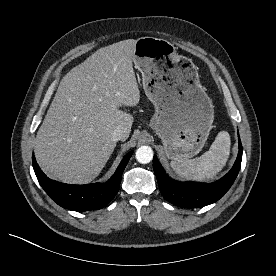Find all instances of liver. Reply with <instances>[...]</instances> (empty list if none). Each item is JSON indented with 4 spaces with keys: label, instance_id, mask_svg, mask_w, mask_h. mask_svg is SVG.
<instances>
[{
    "label": "liver",
    "instance_id": "1",
    "mask_svg": "<svg viewBox=\"0 0 276 276\" xmlns=\"http://www.w3.org/2000/svg\"><path fill=\"white\" fill-rule=\"evenodd\" d=\"M136 40L102 47L72 68L61 80L40 126L35 156L50 177L69 184H86L102 171L121 126L126 138L133 116L119 109L136 106L140 91L132 58Z\"/></svg>",
    "mask_w": 276,
    "mask_h": 276
}]
</instances>
